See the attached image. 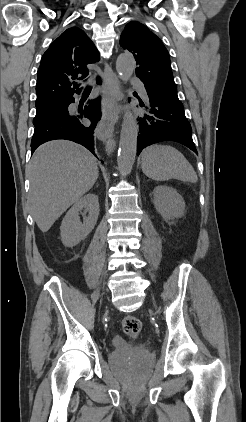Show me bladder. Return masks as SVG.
<instances>
[{
	"label": "bladder",
	"mask_w": 246,
	"mask_h": 422,
	"mask_svg": "<svg viewBox=\"0 0 246 422\" xmlns=\"http://www.w3.org/2000/svg\"><path fill=\"white\" fill-rule=\"evenodd\" d=\"M109 361L115 367L124 363H131L137 368L144 369L153 364L154 356L147 350L131 349L122 346L116 347L111 352Z\"/></svg>",
	"instance_id": "1"
}]
</instances>
